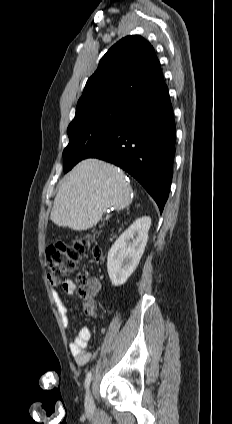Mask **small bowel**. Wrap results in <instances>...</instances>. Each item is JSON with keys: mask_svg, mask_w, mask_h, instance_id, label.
<instances>
[{"mask_svg": "<svg viewBox=\"0 0 232 424\" xmlns=\"http://www.w3.org/2000/svg\"><path fill=\"white\" fill-rule=\"evenodd\" d=\"M101 284L99 280L93 281V294H97L100 291ZM76 289V284L72 280H67L62 284V291L64 295H70ZM53 300L57 308L58 313L60 314L62 324L66 328H71V318L68 314V309L65 305L62 294L53 290ZM76 335L74 340L70 343V351L79 365L87 364L91 359V354L87 350L88 343L91 339V331L88 327H81L75 331Z\"/></svg>", "mask_w": 232, "mask_h": 424, "instance_id": "obj_1", "label": "small bowel"}]
</instances>
